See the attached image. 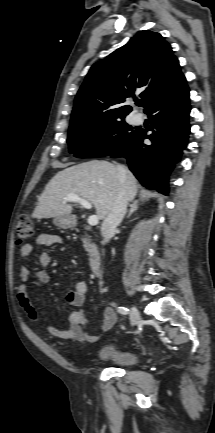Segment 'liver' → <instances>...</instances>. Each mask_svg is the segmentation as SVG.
I'll use <instances>...</instances> for the list:
<instances>
[{
	"mask_svg": "<svg viewBox=\"0 0 215 433\" xmlns=\"http://www.w3.org/2000/svg\"><path fill=\"white\" fill-rule=\"evenodd\" d=\"M123 185L127 200H133L138 187L136 178L129 170H125ZM120 187L117 167L108 161L91 160L65 168L48 182L32 217L42 219L70 215L72 206L64 203V198L76 194L93 204L98 218L104 219Z\"/></svg>",
	"mask_w": 215,
	"mask_h": 433,
	"instance_id": "liver-1",
	"label": "liver"
}]
</instances>
